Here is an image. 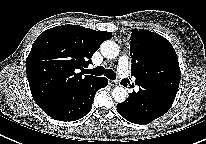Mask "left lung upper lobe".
Here are the masks:
<instances>
[{
  "instance_id": "1",
  "label": "left lung upper lobe",
  "mask_w": 206,
  "mask_h": 144,
  "mask_svg": "<svg viewBox=\"0 0 206 144\" xmlns=\"http://www.w3.org/2000/svg\"><path fill=\"white\" fill-rule=\"evenodd\" d=\"M130 41L131 72L138 86L152 95L176 96L180 83V67L171 43L159 34L133 29Z\"/></svg>"
}]
</instances>
